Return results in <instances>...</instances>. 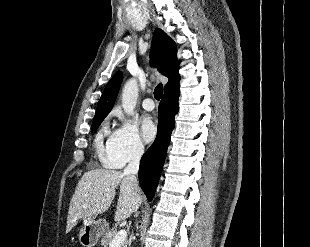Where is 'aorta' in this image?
Returning a JSON list of instances; mask_svg holds the SVG:
<instances>
[{
	"label": "aorta",
	"mask_w": 310,
	"mask_h": 247,
	"mask_svg": "<svg viewBox=\"0 0 310 247\" xmlns=\"http://www.w3.org/2000/svg\"><path fill=\"white\" fill-rule=\"evenodd\" d=\"M138 98V83L134 78L129 79L122 90V108L130 116L133 115Z\"/></svg>",
	"instance_id": "aorta-1"
}]
</instances>
